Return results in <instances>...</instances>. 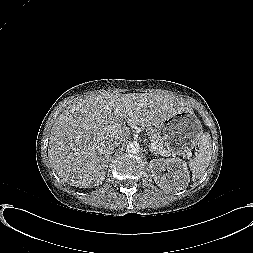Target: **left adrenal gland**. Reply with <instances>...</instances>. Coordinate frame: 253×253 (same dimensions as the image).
<instances>
[{"instance_id": "obj_1", "label": "left adrenal gland", "mask_w": 253, "mask_h": 253, "mask_svg": "<svg viewBox=\"0 0 253 253\" xmlns=\"http://www.w3.org/2000/svg\"><path fill=\"white\" fill-rule=\"evenodd\" d=\"M148 147H149V151H150L151 153H153L154 155H157V152L152 148L151 145H149Z\"/></svg>"}]
</instances>
